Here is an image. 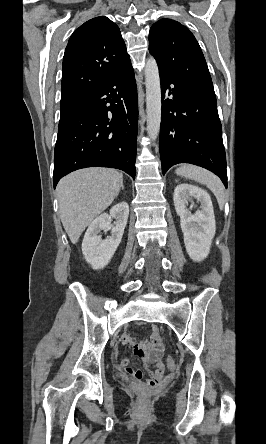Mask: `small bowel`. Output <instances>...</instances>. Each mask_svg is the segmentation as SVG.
<instances>
[{"instance_id":"1","label":"small bowel","mask_w":266,"mask_h":444,"mask_svg":"<svg viewBox=\"0 0 266 444\" xmlns=\"http://www.w3.org/2000/svg\"><path fill=\"white\" fill-rule=\"evenodd\" d=\"M123 344L132 345L136 355L140 356L148 365L152 366L150 377L145 381V384L151 387L156 386L164 378V363L162 361L163 344L156 326L152 327V334L149 341L135 342L129 336L122 337ZM118 369L131 377V379L140 383L142 381V372L129 365V359L123 358L119 364Z\"/></svg>"}]
</instances>
